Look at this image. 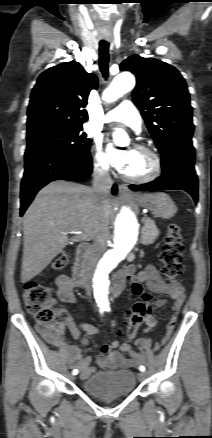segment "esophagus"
<instances>
[{
    "label": "esophagus",
    "mask_w": 212,
    "mask_h": 438,
    "mask_svg": "<svg viewBox=\"0 0 212 438\" xmlns=\"http://www.w3.org/2000/svg\"><path fill=\"white\" fill-rule=\"evenodd\" d=\"M119 193L121 195H125V196L132 195V192L129 190L128 186L125 184L119 185Z\"/></svg>",
    "instance_id": "esophagus-1"
}]
</instances>
